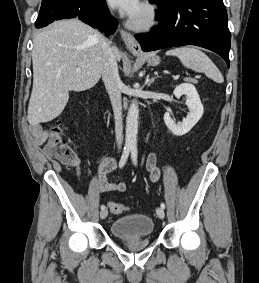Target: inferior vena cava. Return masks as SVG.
Segmentation results:
<instances>
[{
  "label": "inferior vena cava",
  "instance_id": "1",
  "mask_svg": "<svg viewBox=\"0 0 259 283\" xmlns=\"http://www.w3.org/2000/svg\"><path fill=\"white\" fill-rule=\"evenodd\" d=\"M102 79L109 94L115 118L116 141L120 147L123 142L121 85L114 48L108 41L102 45Z\"/></svg>",
  "mask_w": 259,
  "mask_h": 283
}]
</instances>
